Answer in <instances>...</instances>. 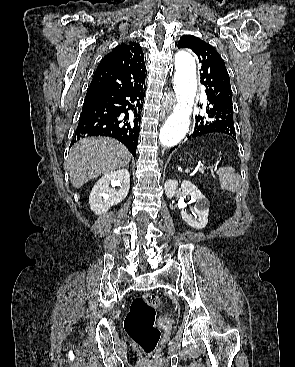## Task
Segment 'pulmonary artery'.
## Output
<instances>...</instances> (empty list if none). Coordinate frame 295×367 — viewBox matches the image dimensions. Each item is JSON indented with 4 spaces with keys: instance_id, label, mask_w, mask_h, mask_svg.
Returning a JSON list of instances; mask_svg holds the SVG:
<instances>
[{
    "instance_id": "obj_1",
    "label": "pulmonary artery",
    "mask_w": 295,
    "mask_h": 367,
    "mask_svg": "<svg viewBox=\"0 0 295 367\" xmlns=\"http://www.w3.org/2000/svg\"><path fill=\"white\" fill-rule=\"evenodd\" d=\"M202 98H203V99H206V96H205V94H202Z\"/></svg>"
}]
</instances>
